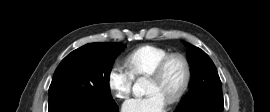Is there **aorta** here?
Instances as JSON below:
<instances>
[{
    "label": "aorta",
    "instance_id": "1",
    "mask_svg": "<svg viewBox=\"0 0 270 112\" xmlns=\"http://www.w3.org/2000/svg\"><path fill=\"white\" fill-rule=\"evenodd\" d=\"M148 85V80L145 77H140L137 79L133 85V94L136 97H141L146 93V86Z\"/></svg>",
    "mask_w": 270,
    "mask_h": 112
}]
</instances>
